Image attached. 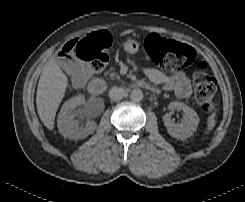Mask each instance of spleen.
I'll use <instances>...</instances> for the list:
<instances>
[{"instance_id":"3e777b00","label":"spleen","mask_w":245,"mask_h":202,"mask_svg":"<svg viewBox=\"0 0 245 202\" xmlns=\"http://www.w3.org/2000/svg\"><path fill=\"white\" fill-rule=\"evenodd\" d=\"M215 113L211 114L209 117H208V120H207V131H210L213 129V127L215 126V123H216V120H215ZM206 131V132H207Z\"/></svg>"}]
</instances>
